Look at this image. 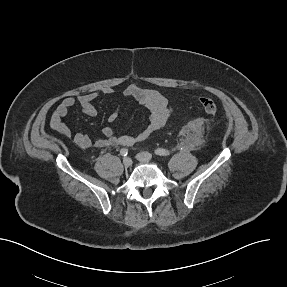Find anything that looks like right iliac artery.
<instances>
[{
	"mask_svg": "<svg viewBox=\"0 0 287 287\" xmlns=\"http://www.w3.org/2000/svg\"><path fill=\"white\" fill-rule=\"evenodd\" d=\"M120 154L125 157L128 155V150L126 148H123L120 150Z\"/></svg>",
	"mask_w": 287,
	"mask_h": 287,
	"instance_id": "right-iliac-artery-1",
	"label": "right iliac artery"
}]
</instances>
